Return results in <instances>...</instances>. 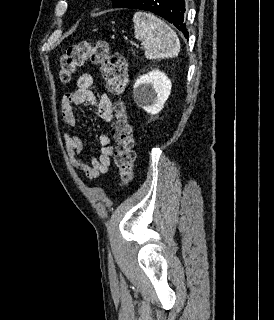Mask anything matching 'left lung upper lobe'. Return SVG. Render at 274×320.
<instances>
[{
    "instance_id": "5c2ea615",
    "label": "left lung upper lobe",
    "mask_w": 274,
    "mask_h": 320,
    "mask_svg": "<svg viewBox=\"0 0 274 320\" xmlns=\"http://www.w3.org/2000/svg\"><path fill=\"white\" fill-rule=\"evenodd\" d=\"M113 8H122L125 4H127L130 0H112Z\"/></svg>"
}]
</instances>
